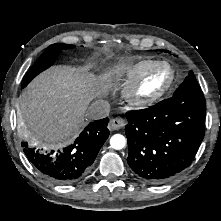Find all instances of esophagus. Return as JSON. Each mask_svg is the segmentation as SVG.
<instances>
[{
    "label": "esophagus",
    "mask_w": 221,
    "mask_h": 221,
    "mask_svg": "<svg viewBox=\"0 0 221 221\" xmlns=\"http://www.w3.org/2000/svg\"><path fill=\"white\" fill-rule=\"evenodd\" d=\"M126 122L120 117H116L110 120L108 128L111 131L119 130L125 126Z\"/></svg>",
    "instance_id": "obj_1"
}]
</instances>
